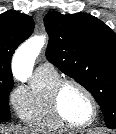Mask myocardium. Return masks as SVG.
<instances>
[{
	"label": "myocardium",
	"instance_id": "myocardium-1",
	"mask_svg": "<svg viewBox=\"0 0 116 134\" xmlns=\"http://www.w3.org/2000/svg\"><path fill=\"white\" fill-rule=\"evenodd\" d=\"M68 85H73L77 88H79L81 91H83L88 99L90 100L91 106H92V116L91 119L84 124H78L70 121L65 117V115L62 112L61 108V94L64 90V88ZM51 104H52V109L57 117V119L64 124L66 127L73 128V129H85L90 126H92L95 121L97 120L98 117V104L97 101L92 94V92L82 83H80L77 80L70 79V78H65V79H60L54 86L52 93H51Z\"/></svg>",
	"mask_w": 116,
	"mask_h": 134
}]
</instances>
